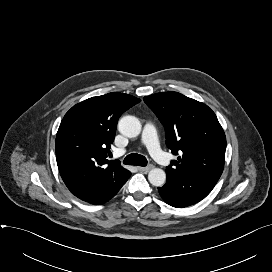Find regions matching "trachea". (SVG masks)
<instances>
[{
  "label": "trachea",
  "mask_w": 272,
  "mask_h": 272,
  "mask_svg": "<svg viewBox=\"0 0 272 272\" xmlns=\"http://www.w3.org/2000/svg\"><path fill=\"white\" fill-rule=\"evenodd\" d=\"M123 163L126 165H137L144 167L147 165V159L143 155L132 153L125 157Z\"/></svg>",
  "instance_id": "3493384b"
}]
</instances>
